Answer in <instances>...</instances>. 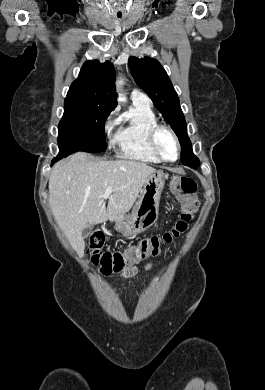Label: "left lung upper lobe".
Here are the masks:
<instances>
[{
    "label": "left lung upper lobe",
    "instance_id": "5c2ea615",
    "mask_svg": "<svg viewBox=\"0 0 265 390\" xmlns=\"http://www.w3.org/2000/svg\"><path fill=\"white\" fill-rule=\"evenodd\" d=\"M128 65L137 85L148 94L154 106L177 135L182 150L180 158L182 164L198 168L199 159L192 152L178 95L162 65L153 58L139 59L134 56L128 59Z\"/></svg>",
    "mask_w": 265,
    "mask_h": 390
}]
</instances>
